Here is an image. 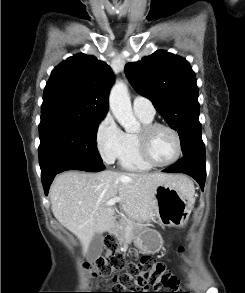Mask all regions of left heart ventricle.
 I'll list each match as a JSON object with an SVG mask.
<instances>
[{"instance_id":"1","label":"left heart ventricle","mask_w":245,"mask_h":293,"mask_svg":"<svg viewBox=\"0 0 245 293\" xmlns=\"http://www.w3.org/2000/svg\"><path fill=\"white\" fill-rule=\"evenodd\" d=\"M149 153L158 163L171 160L176 153V143L172 133L164 128L155 130L149 139Z\"/></svg>"}]
</instances>
